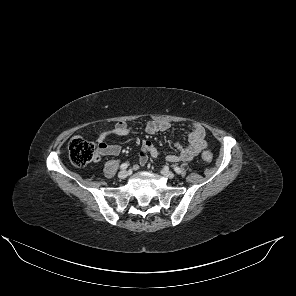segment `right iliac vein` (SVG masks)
I'll return each instance as SVG.
<instances>
[{"label": "right iliac vein", "instance_id": "1", "mask_svg": "<svg viewBox=\"0 0 296 296\" xmlns=\"http://www.w3.org/2000/svg\"><path fill=\"white\" fill-rule=\"evenodd\" d=\"M128 176V172L126 170L120 171L118 177L120 179H125Z\"/></svg>", "mask_w": 296, "mask_h": 296}]
</instances>
